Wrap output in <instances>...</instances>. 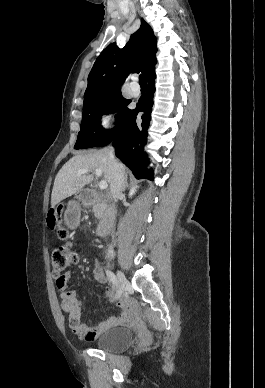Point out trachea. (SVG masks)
I'll return each mask as SVG.
<instances>
[{
    "label": "trachea",
    "mask_w": 265,
    "mask_h": 388,
    "mask_svg": "<svg viewBox=\"0 0 265 388\" xmlns=\"http://www.w3.org/2000/svg\"><path fill=\"white\" fill-rule=\"evenodd\" d=\"M139 83L142 86H147V79H146L145 75L141 74L139 76Z\"/></svg>",
    "instance_id": "3493384b"
}]
</instances>
